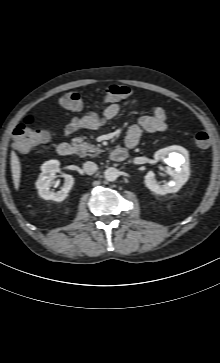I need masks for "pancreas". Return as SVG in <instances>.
Wrapping results in <instances>:
<instances>
[{"instance_id": "1", "label": "pancreas", "mask_w": 220, "mask_h": 363, "mask_svg": "<svg viewBox=\"0 0 220 363\" xmlns=\"http://www.w3.org/2000/svg\"><path fill=\"white\" fill-rule=\"evenodd\" d=\"M83 139L81 137L75 138L73 140L74 146L79 151V154L83 157L85 156H92V153L98 154L101 152V150L87 142H82Z\"/></svg>"}]
</instances>
